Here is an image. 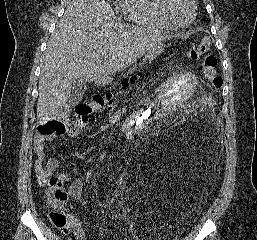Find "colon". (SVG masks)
<instances>
[{
    "label": "colon",
    "mask_w": 257,
    "mask_h": 240,
    "mask_svg": "<svg viewBox=\"0 0 257 240\" xmlns=\"http://www.w3.org/2000/svg\"><path fill=\"white\" fill-rule=\"evenodd\" d=\"M211 46L209 37H205L200 42L194 44L186 53L185 56L193 61L201 60V70L205 79L214 88H220L222 78L216 72V57L208 54L205 55ZM205 55V56H204ZM204 56V57H203ZM203 57V58H202ZM136 83V77H130L123 80V88L130 89ZM114 96L111 93L99 95L91 102H84L76 107L77 125H84L94 112L105 109L113 104ZM65 125L55 120L43 121L38 125V133L43 135H53L62 132ZM46 198L48 203L53 207L49 214L51 223L59 230L67 232L69 230V218L65 212L60 209L67 198L68 193L63 184L55 176H51L47 181Z\"/></svg>",
    "instance_id": "obj_1"
}]
</instances>
